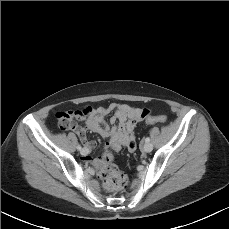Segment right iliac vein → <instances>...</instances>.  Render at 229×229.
Listing matches in <instances>:
<instances>
[{
	"label": "right iliac vein",
	"instance_id": "63e3f726",
	"mask_svg": "<svg viewBox=\"0 0 229 229\" xmlns=\"http://www.w3.org/2000/svg\"><path fill=\"white\" fill-rule=\"evenodd\" d=\"M80 152H81V154H82V155H86V154H88V151H87L85 148H84V149H82Z\"/></svg>",
	"mask_w": 229,
	"mask_h": 229
}]
</instances>
